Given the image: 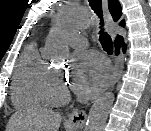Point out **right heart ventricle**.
Segmentation results:
<instances>
[{
  "mask_svg": "<svg viewBox=\"0 0 151 131\" xmlns=\"http://www.w3.org/2000/svg\"><path fill=\"white\" fill-rule=\"evenodd\" d=\"M49 70L48 64L39 53L37 44H28L14 73L11 90L14 106L28 108L44 103L41 85Z\"/></svg>",
  "mask_w": 151,
  "mask_h": 131,
  "instance_id": "obj_1",
  "label": "right heart ventricle"
}]
</instances>
